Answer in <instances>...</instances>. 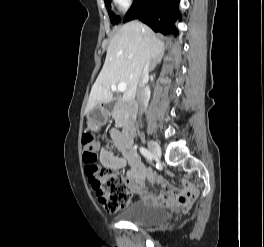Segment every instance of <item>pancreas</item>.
<instances>
[{"label":"pancreas","instance_id":"1","mask_svg":"<svg viewBox=\"0 0 264 247\" xmlns=\"http://www.w3.org/2000/svg\"><path fill=\"white\" fill-rule=\"evenodd\" d=\"M112 117L115 119L117 124L124 122L128 117L127 105L121 102L118 103L113 110Z\"/></svg>","mask_w":264,"mask_h":247}]
</instances>
